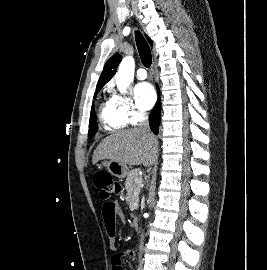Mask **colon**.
I'll return each mask as SVG.
<instances>
[{"instance_id":"colon-1","label":"colon","mask_w":267,"mask_h":270,"mask_svg":"<svg viewBox=\"0 0 267 270\" xmlns=\"http://www.w3.org/2000/svg\"><path fill=\"white\" fill-rule=\"evenodd\" d=\"M94 185L99 190L100 197L104 201H109L113 197L121 193V185L117 182L111 174L107 172H99L94 176ZM120 258L114 259L113 270L120 269Z\"/></svg>"}]
</instances>
